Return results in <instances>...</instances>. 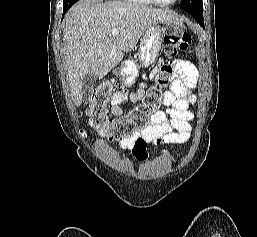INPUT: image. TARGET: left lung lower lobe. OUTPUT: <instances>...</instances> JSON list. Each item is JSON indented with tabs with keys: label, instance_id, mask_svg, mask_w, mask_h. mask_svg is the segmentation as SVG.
Here are the masks:
<instances>
[{
	"label": "left lung lower lobe",
	"instance_id": "1",
	"mask_svg": "<svg viewBox=\"0 0 257 237\" xmlns=\"http://www.w3.org/2000/svg\"><path fill=\"white\" fill-rule=\"evenodd\" d=\"M196 21L199 23L201 27L204 28V19L203 15H197V14H190Z\"/></svg>",
	"mask_w": 257,
	"mask_h": 237
}]
</instances>
